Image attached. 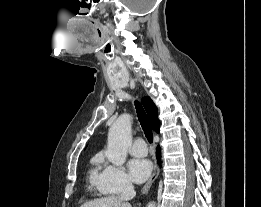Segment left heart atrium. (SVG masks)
Returning <instances> with one entry per match:
<instances>
[{
    "instance_id": "obj_1",
    "label": "left heart atrium",
    "mask_w": 261,
    "mask_h": 207,
    "mask_svg": "<svg viewBox=\"0 0 261 207\" xmlns=\"http://www.w3.org/2000/svg\"><path fill=\"white\" fill-rule=\"evenodd\" d=\"M128 169L131 179L135 183H142L150 176L152 164L147 159L134 158L129 161Z\"/></svg>"
}]
</instances>
